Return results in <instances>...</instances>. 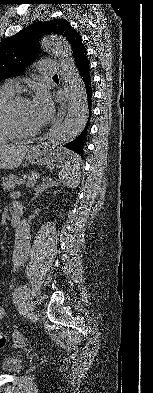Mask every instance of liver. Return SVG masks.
<instances>
[{"instance_id":"liver-1","label":"liver","mask_w":153,"mask_h":393,"mask_svg":"<svg viewBox=\"0 0 153 393\" xmlns=\"http://www.w3.org/2000/svg\"><path fill=\"white\" fill-rule=\"evenodd\" d=\"M26 146L11 144L0 146V170H12L18 168L25 156Z\"/></svg>"}]
</instances>
